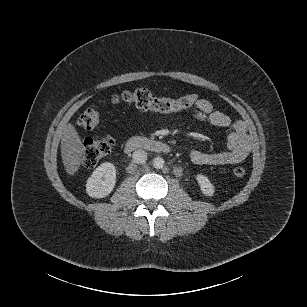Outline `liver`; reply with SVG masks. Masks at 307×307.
<instances>
[{
    "mask_svg": "<svg viewBox=\"0 0 307 307\" xmlns=\"http://www.w3.org/2000/svg\"><path fill=\"white\" fill-rule=\"evenodd\" d=\"M84 151L85 148L74 126L70 123L65 125L62 130L61 157L69 175H74L78 171Z\"/></svg>",
    "mask_w": 307,
    "mask_h": 307,
    "instance_id": "obj_1",
    "label": "liver"
}]
</instances>
